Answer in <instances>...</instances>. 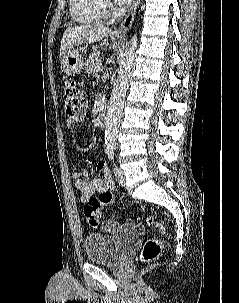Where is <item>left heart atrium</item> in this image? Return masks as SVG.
<instances>
[{"instance_id":"left-heart-atrium-1","label":"left heart atrium","mask_w":239,"mask_h":303,"mask_svg":"<svg viewBox=\"0 0 239 303\" xmlns=\"http://www.w3.org/2000/svg\"><path fill=\"white\" fill-rule=\"evenodd\" d=\"M119 5H127L131 0H115Z\"/></svg>"}]
</instances>
